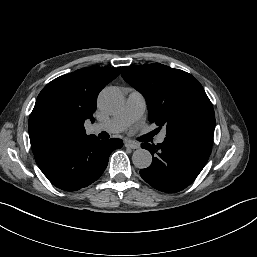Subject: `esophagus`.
<instances>
[{
	"label": "esophagus",
	"mask_w": 257,
	"mask_h": 257,
	"mask_svg": "<svg viewBox=\"0 0 257 257\" xmlns=\"http://www.w3.org/2000/svg\"><path fill=\"white\" fill-rule=\"evenodd\" d=\"M125 147L131 148V149H138L140 145L138 143L132 142V141H125L124 143Z\"/></svg>",
	"instance_id": "1"
}]
</instances>
